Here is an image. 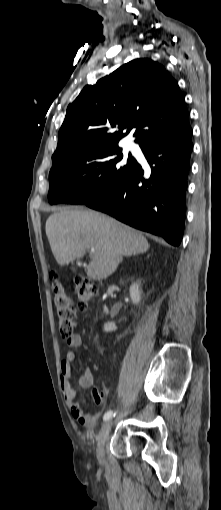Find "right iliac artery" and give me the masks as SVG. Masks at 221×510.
Returning <instances> with one entry per match:
<instances>
[{"label": "right iliac artery", "instance_id": "82829eb1", "mask_svg": "<svg viewBox=\"0 0 221 510\" xmlns=\"http://www.w3.org/2000/svg\"><path fill=\"white\" fill-rule=\"evenodd\" d=\"M115 415H116V413L114 411L110 410L104 414L103 420L107 421V420L111 419L112 417H115Z\"/></svg>", "mask_w": 221, "mask_h": 510}]
</instances>
